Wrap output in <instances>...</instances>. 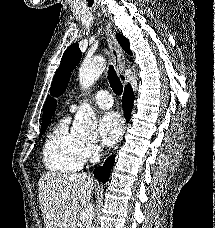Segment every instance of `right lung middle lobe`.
I'll return each mask as SVG.
<instances>
[{
	"label": "right lung middle lobe",
	"mask_w": 215,
	"mask_h": 228,
	"mask_svg": "<svg viewBox=\"0 0 215 228\" xmlns=\"http://www.w3.org/2000/svg\"><path fill=\"white\" fill-rule=\"evenodd\" d=\"M48 125H49V123L42 124L41 129H40V136H42V134L45 132Z\"/></svg>",
	"instance_id": "right-lung-middle-lobe-1"
}]
</instances>
